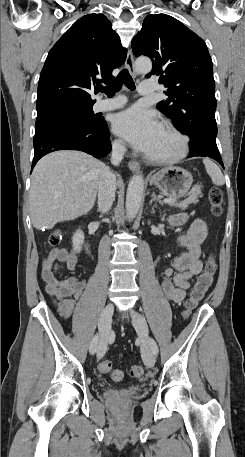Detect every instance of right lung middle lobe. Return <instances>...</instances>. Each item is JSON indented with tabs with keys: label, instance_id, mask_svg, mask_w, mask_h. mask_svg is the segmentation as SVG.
<instances>
[{
	"label": "right lung middle lobe",
	"instance_id": "obj_1",
	"mask_svg": "<svg viewBox=\"0 0 245 457\" xmlns=\"http://www.w3.org/2000/svg\"><path fill=\"white\" fill-rule=\"evenodd\" d=\"M94 101L75 100L60 104L58 107L37 113L36 123L55 117H73L80 120H93L97 115L92 111Z\"/></svg>",
	"mask_w": 245,
	"mask_h": 457
}]
</instances>
